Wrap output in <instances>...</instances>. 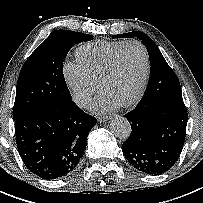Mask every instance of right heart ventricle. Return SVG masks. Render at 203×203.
<instances>
[{
    "mask_svg": "<svg viewBox=\"0 0 203 203\" xmlns=\"http://www.w3.org/2000/svg\"><path fill=\"white\" fill-rule=\"evenodd\" d=\"M125 41H96L80 46L76 52L78 63L97 82L115 50Z\"/></svg>",
    "mask_w": 203,
    "mask_h": 203,
    "instance_id": "obj_1",
    "label": "right heart ventricle"
}]
</instances>
